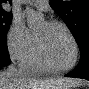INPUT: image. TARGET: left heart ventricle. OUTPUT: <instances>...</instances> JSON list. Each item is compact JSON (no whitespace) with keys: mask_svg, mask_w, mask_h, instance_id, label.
Listing matches in <instances>:
<instances>
[{"mask_svg":"<svg viewBox=\"0 0 89 89\" xmlns=\"http://www.w3.org/2000/svg\"><path fill=\"white\" fill-rule=\"evenodd\" d=\"M42 49L55 68L70 65L74 58V47L65 30L48 22H41L35 29Z\"/></svg>","mask_w":89,"mask_h":89,"instance_id":"1","label":"left heart ventricle"}]
</instances>
